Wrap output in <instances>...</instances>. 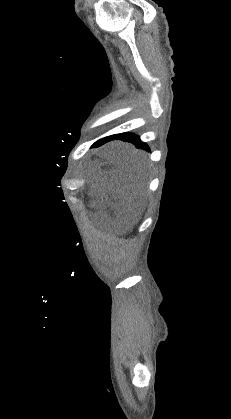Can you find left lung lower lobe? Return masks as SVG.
I'll return each instance as SVG.
<instances>
[{
	"label": "left lung lower lobe",
	"mask_w": 231,
	"mask_h": 419,
	"mask_svg": "<svg viewBox=\"0 0 231 419\" xmlns=\"http://www.w3.org/2000/svg\"><path fill=\"white\" fill-rule=\"evenodd\" d=\"M112 140H122L124 142H130L134 144L136 148L138 149H144L146 151H150L149 146L146 143L142 142L138 135H135L133 133H120V134L110 135V136H107L105 138L98 140L97 142L93 144V146L100 147L103 144L110 142Z\"/></svg>",
	"instance_id": "left-lung-lower-lobe-1"
}]
</instances>
